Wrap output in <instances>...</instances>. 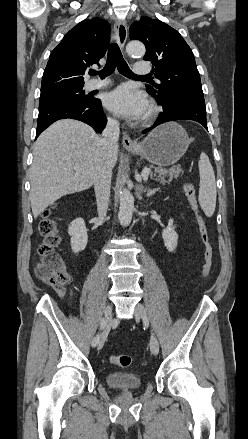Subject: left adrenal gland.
<instances>
[{
	"label": "left adrenal gland",
	"mask_w": 248,
	"mask_h": 439,
	"mask_svg": "<svg viewBox=\"0 0 248 439\" xmlns=\"http://www.w3.org/2000/svg\"><path fill=\"white\" fill-rule=\"evenodd\" d=\"M157 190H158V189H148V190H143V192L146 193V196H147V197H150V196H152L153 194H155Z\"/></svg>",
	"instance_id": "obj_1"
}]
</instances>
